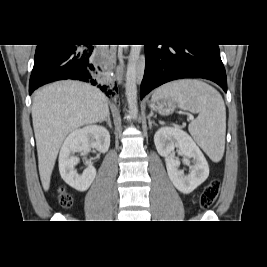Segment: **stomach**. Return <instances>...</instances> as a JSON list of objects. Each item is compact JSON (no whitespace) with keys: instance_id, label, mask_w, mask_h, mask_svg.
<instances>
[{"instance_id":"obj_1","label":"stomach","mask_w":267,"mask_h":267,"mask_svg":"<svg viewBox=\"0 0 267 267\" xmlns=\"http://www.w3.org/2000/svg\"><path fill=\"white\" fill-rule=\"evenodd\" d=\"M150 108L161 115H169L174 111L175 104L170 98H162L155 101L153 100L150 103Z\"/></svg>"}]
</instances>
